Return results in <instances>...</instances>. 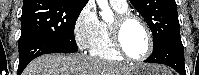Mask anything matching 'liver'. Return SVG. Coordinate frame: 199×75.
Returning <instances> with one entry per match:
<instances>
[{"instance_id":"liver-1","label":"liver","mask_w":199,"mask_h":75,"mask_svg":"<svg viewBox=\"0 0 199 75\" xmlns=\"http://www.w3.org/2000/svg\"><path fill=\"white\" fill-rule=\"evenodd\" d=\"M132 68L84 54H49L34 59L23 75H128Z\"/></svg>"}]
</instances>
